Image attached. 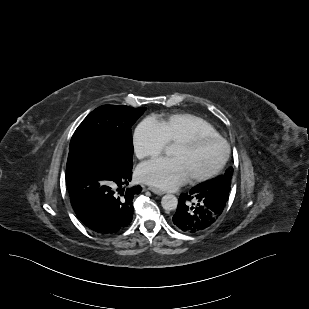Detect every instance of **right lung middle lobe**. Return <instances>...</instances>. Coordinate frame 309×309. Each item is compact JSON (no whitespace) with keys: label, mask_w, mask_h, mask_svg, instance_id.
Segmentation results:
<instances>
[{"label":"right lung middle lobe","mask_w":309,"mask_h":309,"mask_svg":"<svg viewBox=\"0 0 309 309\" xmlns=\"http://www.w3.org/2000/svg\"><path fill=\"white\" fill-rule=\"evenodd\" d=\"M146 108L103 105L92 111L72 136L69 151L88 146L98 147L119 160L132 162L131 126Z\"/></svg>","instance_id":"obj_1"}]
</instances>
